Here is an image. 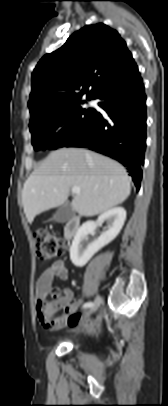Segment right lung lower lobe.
<instances>
[{"label": "right lung lower lobe", "mask_w": 168, "mask_h": 406, "mask_svg": "<svg viewBox=\"0 0 168 406\" xmlns=\"http://www.w3.org/2000/svg\"><path fill=\"white\" fill-rule=\"evenodd\" d=\"M92 121L63 147H83L111 157L129 170L140 188L146 148V95L140 73L106 89L98 97Z\"/></svg>", "instance_id": "right-lung-lower-lobe-1"}]
</instances>
